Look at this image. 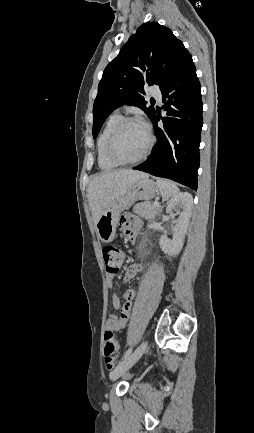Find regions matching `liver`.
Here are the masks:
<instances>
[{
    "instance_id": "6515ba94",
    "label": "liver",
    "mask_w": 254,
    "mask_h": 433,
    "mask_svg": "<svg viewBox=\"0 0 254 433\" xmlns=\"http://www.w3.org/2000/svg\"><path fill=\"white\" fill-rule=\"evenodd\" d=\"M143 177L148 175L130 169L96 174L88 186V201L95 224L113 200L125 194L136 180Z\"/></svg>"
}]
</instances>
